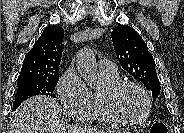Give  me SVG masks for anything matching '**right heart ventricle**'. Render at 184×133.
<instances>
[{"label": "right heart ventricle", "mask_w": 184, "mask_h": 133, "mask_svg": "<svg viewBox=\"0 0 184 133\" xmlns=\"http://www.w3.org/2000/svg\"><path fill=\"white\" fill-rule=\"evenodd\" d=\"M102 73V76L106 82V85L115 83L120 80L119 75H109L106 73ZM101 92H95L93 94V100H94V109H93V114L90 119V121H95L98 123H112L111 120L108 118L106 115L102 103H101Z\"/></svg>", "instance_id": "right-heart-ventricle-1"}]
</instances>
